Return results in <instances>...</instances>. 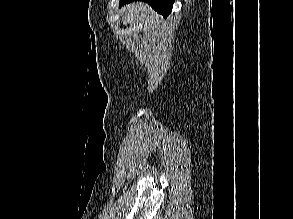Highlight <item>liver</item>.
Here are the masks:
<instances>
[{
    "instance_id": "6515ba94",
    "label": "liver",
    "mask_w": 293,
    "mask_h": 219,
    "mask_svg": "<svg viewBox=\"0 0 293 219\" xmlns=\"http://www.w3.org/2000/svg\"><path fill=\"white\" fill-rule=\"evenodd\" d=\"M124 14L122 16V23L124 25L134 23L135 19L143 21L149 26L159 23L161 17L156 14L148 4L143 2H135L123 8Z\"/></svg>"
}]
</instances>
